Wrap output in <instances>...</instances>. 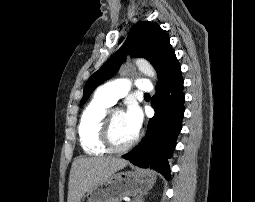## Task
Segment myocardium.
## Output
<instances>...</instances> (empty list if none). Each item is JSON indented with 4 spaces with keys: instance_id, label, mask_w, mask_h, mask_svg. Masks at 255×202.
<instances>
[{
    "instance_id": "1",
    "label": "myocardium",
    "mask_w": 255,
    "mask_h": 202,
    "mask_svg": "<svg viewBox=\"0 0 255 202\" xmlns=\"http://www.w3.org/2000/svg\"><path fill=\"white\" fill-rule=\"evenodd\" d=\"M112 114L113 112H107L103 118L100 129V141L108 151L122 153L129 150L136 143L139 135L136 134L133 139L122 146L116 145L112 138Z\"/></svg>"
}]
</instances>
